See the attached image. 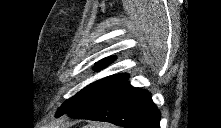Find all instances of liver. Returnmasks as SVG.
I'll return each instance as SVG.
<instances>
[{
	"label": "liver",
	"mask_w": 221,
	"mask_h": 128,
	"mask_svg": "<svg viewBox=\"0 0 221 128\" xmlns=\"http://www.w3.org/2000/svg\"><path fill=\"white\" fill-rule=\"evenodd\" d=\"M84 128H116V127L113 126V125H110L108 123H97V122H94V123L86 125Z\"/></svg>",
	"instance_id": "obj_1"
}]
</instances>
